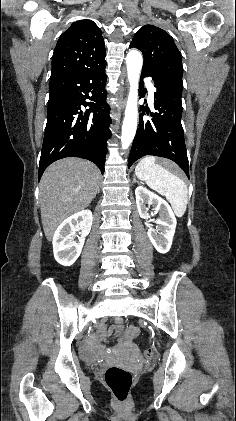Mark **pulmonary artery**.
I'll list each match as a JSON object with an SVG mask.
<instances>
[{
  "label": "pulmonary artery",
  "mask_w": 236,
  "mask_h": 421,
  "mask_svg": "<svg viewBox=\"0 0 236 421\" xmlns=\"http://www.w3.org/2000/svg\"><path fill=\"white\" fill-rule=\"evenodd\" d=\"M149 103L152 104L154 100V88L152 86L149 87Z\"/></svg>",
  "instance_id": "1"
}]
</instances>
